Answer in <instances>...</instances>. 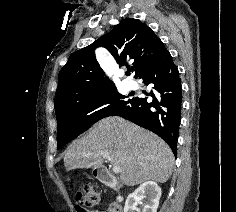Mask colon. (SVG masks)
Here are the masks:
<instances>
[{
    "label": "colon",
    "mask_w": 236,
    "mask_h": 212,
    "mask_svg": "<svg viewBox=\"0 0 236 212\" xmlns=\"http://www.w3.org/2000/svg\"><path fill=\"white\" fill-rule=\"evenodd\" d=\"M76 204L80 207V212H98L90 211L100 205L101 192L99 187L92 182H83L74 190Z\"/></svg>",
    "instance_id": "5ec220e1"
}]
</instances>
